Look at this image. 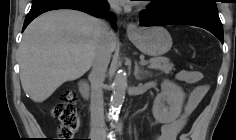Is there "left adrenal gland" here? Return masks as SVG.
Returning a JSON list of instances; mask_svg holds the SVG:
<instances>
[{"mask_svg":"<svg viewBox=\"0 0 236 140\" xmlns=\"http://www.w3.org/2000/svg\"><path fill=\"white\" fill-rule=\"evenodd\" d=\"M149 74H150L149 71L144 70V68L139 67L138 63L135 62L134 76L137 80L141 81L145 77H147Z\"/></svg>","mask_w":236,"mask_h":140,"instance_id":"left-adrenal-gland-1","label":"left adrenal gland"}]
</instances>
